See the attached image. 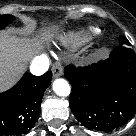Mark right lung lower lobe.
I'll return each instance as SVG.
<instances>
[{
	"label": "right lung lower lobe",
	"mask_w": 136,
	"mask_h": 136,
	"mask_svg": "<svg viewBox=\"0 0 136 136\" xmlns=\"http://www.w3.org/2000/svg\"><path fill=\"white\" fill-rule=\"evenodd\" d=\"M51 79V71L42 76L25 73L13 88L0 93V136H21L34 127Z\"/></svg>",
	"instance_id": "1"
}]
</instances>
